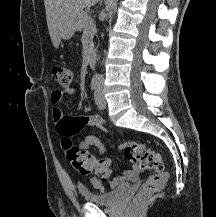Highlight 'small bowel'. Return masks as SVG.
<instances>
[{
	"label": "small bowel",
	"mask_w": 216,
	"mask_h": 217,
	"mask_svg": "<svg viewBox=\"0 0 216 217\" xmlns=\"http://www.w3.org/2000/svg\"><path fill=\"white\" fill-rule=\"evenodd\" d=\"M74 93H75V90L71 87L64 88L61 90H54L51 93L50 100L54 106V108L52 110V118H53L54 123L56 124V127H58L60 125V123L65 119L64 113L58 107V105L63 101V99L65 97H67L69 95H73ZM81 147L87 152H88L90 147H95L100 156L105 153V147H104L103 143L101 142V140L98 137L93 136V135L85 136L83 138V140L81 141ZM92 157L95 161L100 160L96 156L92 155ZM103 160H106L109 164V167H110V165H111L110 160H107V159H103ZM139 170L140 169L137 166L132 167L130 170H128L121 177H117V178L112 179L109 182L110 186L114 187L123 181L133 179ZM94 173H96V172H94ZM96 174L102 175V173H96ZM89 183H90L91 187H93L94 189L103 190V188H104L103 182L97 178H91Z\"/></svg>",
	"instance_id": "obj_1"
}]
</instances>
